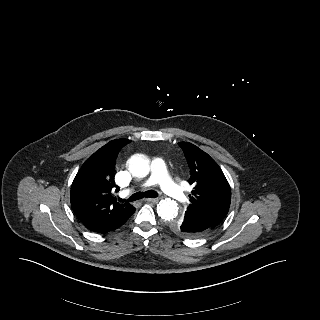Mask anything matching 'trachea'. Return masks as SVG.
Listing matches in <instances>:
<instances>
[{
	"instance_id": "1",
	"label": "trachea",
	"mask_w": 320,
	"mask_h": 320,
	"mask_svg": "<svg viewBox=\"0 0 320 320\" xmlns=\"http://www.w3.org/2000/svg\"><path fill=\"white\" fill-rule=\"evenodd\" d=\"M158 196V193L156 191L153 190H148L145 192H137L135 194H133L131 197H129V199H127L126 201H136V200H140L143 199L144 197L146 198H156Z\"/></svg>"
}]
</instances>
